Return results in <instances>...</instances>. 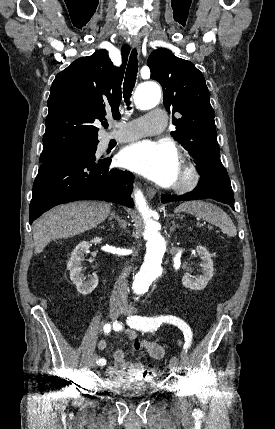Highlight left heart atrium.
<instances>
[{"label": "left heart atrium", "mask_w": 275, "mask_h": 429, "mask_svg": "<svg viewBox=\"0 0 275 429\" xmlns=\"http://www.w3.org/2000/svg\"><path fill=\"white\" fill-rule=\"evenodd\" d=\"M119 162L162 186L175 183L180 167L175 148L165 141L133 143L122 150Z\"/></svg>", "instance_id": "obj_1"}]
</instances>
